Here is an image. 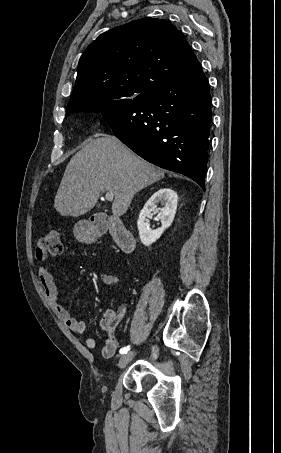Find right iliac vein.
<instances>
[{"mask_svg": "<svg viewBox=\"0 0 281 453\" xmlns=\"http://www.w3.org/2000/svg\"><path fill=\"white\" fill-rule=\"evenodd\" d=\"M133 353H134L133 351H130V354L127 353V355L122 356V358H121V360H120V362L118 364L120 368H125L126 367V365L129 362L130 358L134 355Z\"/></svg>", "mask_w": 281, "mask_h": 453, "instance_id": "right-iliac-vein-1", "label": "right iliac vein"}]
</instances>
